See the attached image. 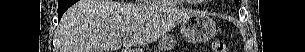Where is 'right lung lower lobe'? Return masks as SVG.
<instances>
[{"label": "right lung lower lobe", "mask_w": 305, "mask_h": 52, "mask_svg": "<svg viewBox=\"0 0 305 52\" xmlns=\"http://www.w3.org/2000/svg\"><path fill=\"white\" fill-rule=\"evenodd\" d=\"M76 2V0H59L58 2V18L61 19L63 13Z\"/></svg>", "instance_id": "98d812e1"}]
</instances>
